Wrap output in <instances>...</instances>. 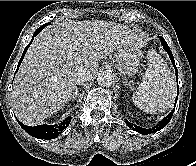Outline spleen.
I'll use <instances>...</instances> for the list:
<instances>
[{
	"label": "spleen",
	"instance_id": "spleen-1",
	"mask_svg": "<svg viewBox=\"0 0 196 166\" xmlns=\"http://www.w3.org/2000/svg\"><path fill=\"white\" fill-rule=\"evenodd\" d=\"M148 68L133 102L142 111L151 114L164 112L176 97V83L168 65L154 50L148 52Z\"/></svg>",
	"mask_w": 196,
	"mask_h": 166
}]
</instances>
